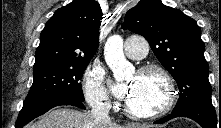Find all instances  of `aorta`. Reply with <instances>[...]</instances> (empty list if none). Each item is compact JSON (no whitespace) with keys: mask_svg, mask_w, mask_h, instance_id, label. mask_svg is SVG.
<instances>
[{"mask_svg":"<svg viewBox=\"0 0 221 128\" xmlns=\"http://www.w3.org/2000/svg\"><path fill=\"white\" fill-rule=\"evenodd\" d=\"M104 57L117 81L134 71L133 65L126 60L123 53V39L119 35L110 36L104 46Z\"/></svg>","mask_w":221,"mask_h":128,"instance_id":"1","label":"aorta"}]
</instances>
